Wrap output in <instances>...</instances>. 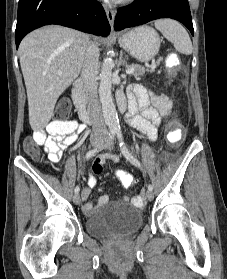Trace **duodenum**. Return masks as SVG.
<instances>
[{
  "label": "duodenum",
  "instance_id": "410a0bca",
  "mask_svg": "<svg viewBox=\"0 0 227 279\" xmlns=\"http://www.w3.org/2000/svg\"><path fill=\"white\" fill-rule=\"evenodd\" d=\"M71 95L74 101V104L78 110L81 120L85 124H91L93 122L91 109L89 108L85 96L84 86L82 82H74L71 87ZM121 112H125V104H120Z\"/></svg>",
  "mask_w": 227,
  "mask_h": 279
}]
</instances>
